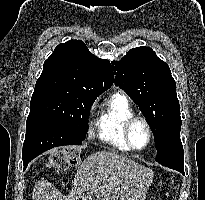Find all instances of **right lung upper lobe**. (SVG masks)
<instances>
[{"instance_id": "cb5924a9", "label": "right lung upper lobe", "mask_w": 205, "mask_h": 200, "mask_svg": "<svg viewBox=\"0 0 205 200\" xmlns=\"http://www.w3.org/2000/svg\"><path fill=\"white\" fill-rule=\"evenodd\" d=\"M62 81L83 88L94 96L109 89L114 82V73L108 60L91 54L80 40L59 44L44 62L37 81Z\"/></svg>"}]
</instances>
